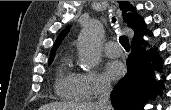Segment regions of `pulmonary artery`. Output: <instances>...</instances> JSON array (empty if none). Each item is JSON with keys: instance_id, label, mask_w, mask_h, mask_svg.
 Returning a JSON list of instances; mask_svg holds the SVG:
<instances>
[{"instance_id": "1", "label": "pulmonary artery", "mask_w": 171, "mask_h": 110, "mask_svg": "<svg viewBox=\"0 0 171 110\" xmlns=\"http://www.w3.org/2000/svg\"><path fill=\"white\" fill-rule=\"evenodd\" d=\"M104 52L107 56L116 58L122 54V49L117 41H109L105 44Z\"/></svg>"}]
</instances>
